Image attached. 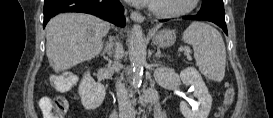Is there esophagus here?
Masks as SVG:
<instances>
[{
	"label": "esophagus",
	"instance_id": "1",
	"mask_svg": "<svg viewBox=\"0 0 273 118\" xmlns=\"http://www.w3.org/2000/svg\"><path fill=\"white\" fill-rule=\"evenodd\" d=\"M130 18L133 21L139 22V23H142L144 21V16L142 14H140L139 12H135V11H132L130 13Z\"/></svg>",
	"mask_w": 273,
	"mask_h": 118
}]
</instances>
